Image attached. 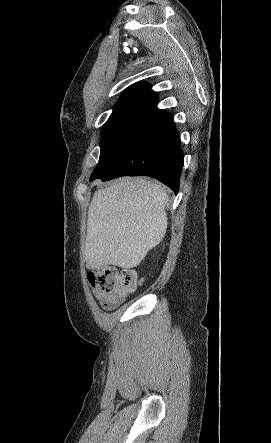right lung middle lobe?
Segmentation results:
<instances>
[{
  "label": "right lung middle lobe",
  "mask_w": 271,
  "mask_h": 443,
  "mask_svg": "<svg viewBox=\"0 0 271 443\" xmlns=\"http://www.w3.org/2000/svg\"><path fill=\"white\" fill-rule=\"evenodd\" d=\"M153 107L149 103H118L114 106L104 128L99 162L92 175L101 172L109 164L129 132Z\"/></svg>",
  "instance_id": "right-lung-middle-lobe-1"
}]
</instances>
